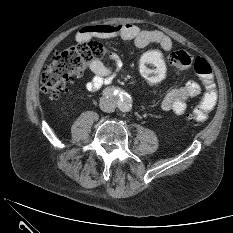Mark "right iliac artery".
Masks as SVG:
<instances>
[{
	"label": "right iliac artery",
	"mask_w": 233,
	"mask_h": 233,
	"mask_svg": "<svg viewBox=\"0 0 233 233\" xmlns=\"http://www.w3.org/2000/svg\"><path fill=\"white\" fill-rule=\"evenodd\" d=\"M127 93L123 92L119 88H109L103 92L104 97L116 96L119 98L118 104H121L122 101L126 98Z\"/></svg>",
	"instance_id": "82829eb1"
}]
</instances>
